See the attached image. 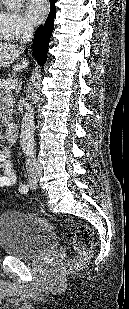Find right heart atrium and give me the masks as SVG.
<instances>
[{"label":"right heart atrium","mask_w":129,"mask_h":309,"mask_svg":"<svg viewBox=\"0 0 129 309\" xmlns=\"http://www.w3.org/2000/svg\"><path fill=\"white\" fill-rule=\"evenodd\" d=\"M0 31L7 40L16 41L28 36L33 27L19 11L1 10Z\"/></svg>","instance_id":"obj_1"}]
</instances>
